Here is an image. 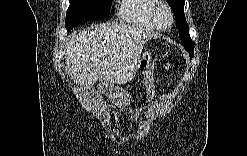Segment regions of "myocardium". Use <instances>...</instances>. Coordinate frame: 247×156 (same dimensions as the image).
<instances>
[{
    "label": "myocardium",
    "mask_w": 247,
    "mask_h": 156,
    "mask_svg": "<svg viewBox=\"0 0 247 156\" xmlns=\"http://www.w3.org/2000/svg\"><path fill=\"white\" fill-rule=\"evenodd\" d=\"M161 9H164L168 16H169V22L168 24L166 25H162L159 21H158V18H157V15H158V12L161 10ZM151 17H152V21L154 23V25L160 29V30H166L168 28H170L174 22V16H173V12L170 8V6L164 2V1H157L152 9V12H151Z\"/></svg>",
    "instance_id": "f54148a6"
}]
</instances>
